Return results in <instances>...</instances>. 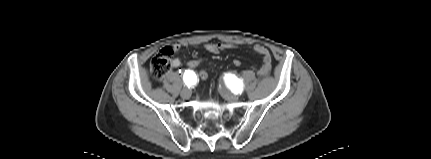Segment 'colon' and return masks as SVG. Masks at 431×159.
I'll list each match as a JSON object with an SVG mask.
<instances>
[{
  "label": "colon",
  "instance_id": "colon-1",
  "mask_svg": "<svg viewBox=\"0 0 431 159\" xmlns=\"http://www.w3.org/2000/svg\"><path fill=\"white\" fill-rule=\"evenodd\" d=\"M172 53V48L165 49L157 54L150 63L151 75L155 80H161L171 68L169 55ZM211 59V54L207 51H202L198 58L188 60V69L196 71L199 68L201 80L206 81L209 78V66L206 64ZM234 67L239 68L242 65L241 60H234Z\"/></svg>",
  "mask_w": 431,
  "mask_h": 159
}]
</instances>
